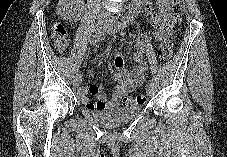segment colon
I'll list each match as a JSON object with an SVG mask.
<instances>
[{"mask_svg":"<svg viewBox=\"0 0 227 157\" xmlns=\"http://www.w3.org/2000/svg\"><path fill=\"white\" fill-rule=\"evenodd\" d=\"M183 13V1L182 0H171L170 14L172 23L168 27L169 36L162 40L158 55L162 61H168L173 52V44L171 41V36L174 33L175 27L180 23ZM52 39L55 44L56 49L59 52H64L69 46V38L65 27L59 23L55 22L52 25ZM145 102V97L143 95H137L133 97H126L123 99V106L131 107L136 105H141Z\"/></svg>","mask_w":227,"mask_h":157,"instance_id":"colon-1","label":"colon"}]
</instances>
